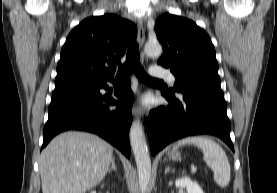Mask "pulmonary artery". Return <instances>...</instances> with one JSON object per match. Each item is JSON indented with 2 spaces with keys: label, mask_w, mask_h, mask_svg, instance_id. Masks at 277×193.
<instances>
[{
  "label": "pulmonary artery",
  "mask_w": 277,
  "mask_h": 193,
  "mask_svg": "<svg viewBox=\"0 0 277 193\" xmlns=\"http://www.w3.org/2000/svg\"><path fill=\"white\" fill-rule=\"evenodd\" d=\"M150 73L153 77L166 79L172 84L176 82L175 76L168 70L158 68V67H152L150 69Z\"/></svg>",
  "instance_id": "1"
}]
</instances>
